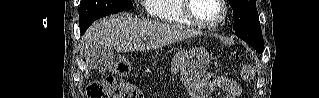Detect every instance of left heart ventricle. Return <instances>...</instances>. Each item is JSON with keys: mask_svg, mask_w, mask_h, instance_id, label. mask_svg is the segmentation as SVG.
Here are the masks:
<instances>
[{"mask_svg": "<svg viewBox=\"0 0 319 98\" xmlns=\"http://www.w3.org/2000/svg\"><path fill=\"white\" fill-rule=\"evenodd\" d=\"M191 11L198 19L208 23L217 21L222 15L218 0H192Z\"/></svg>", "mask_w": 319, "mask_h": 98, "instance_id": "left-heart-ventricle-1", "label": "left heart ventricle"}]
</instances>
